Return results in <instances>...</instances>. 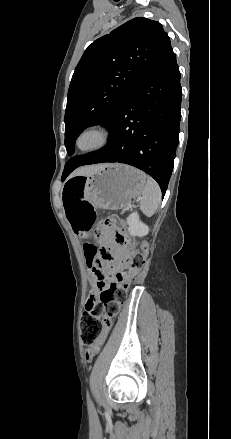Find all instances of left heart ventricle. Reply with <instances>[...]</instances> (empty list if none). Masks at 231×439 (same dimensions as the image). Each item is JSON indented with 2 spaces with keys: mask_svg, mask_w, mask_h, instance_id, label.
Wrapping results in <instances>:
<instances>
[{
  "mask_svg": "<svg viewBox=\"0 0 231 439\" xmlns=\"http://www.w3.org/2000/svg\"><path fill=\"white\" fill-rule=\"evenodd\" d=\"M87 142H88V143H90V142H91V140H88Z\"/></svg>",
  "mask_w": 231,
  "mask_h": 439,
  "instance_id": "left-heart-ventricle-1",
  "label": "left heart ventricle"
}]
</instances>
